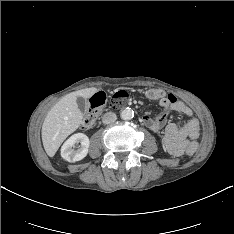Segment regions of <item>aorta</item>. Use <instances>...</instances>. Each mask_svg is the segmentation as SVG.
I'll use <instances>...</instances> for the list:
<instances>
[{
	"instance_id": "aorta-1",
	"label": "aorta",
	"mask_w": 234,
	"mask_h": 234,
	"mask_svg": "<svg viewBox=\"0 0 234 234\" xmlns=\"http://www.w3.org/2000/svg\"><path fill=\"white\" fill-rule=\"evenodd\" d=\"M120 116L123 120H131L134 117V111L126 108L121 112Z\"/></svg>"
}]
</instances>
